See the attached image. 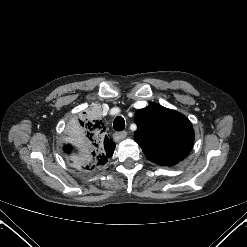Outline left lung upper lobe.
<instances>
[{"instance_id":"left-lung-upper-lobe-1","label":"left lung upper lobe","mask_w":247,"mask_h":247,"mask_svg":"<svg viewBox=\"0 0 247 247\" xmlns=\"http://www.w3.org/2000/svg\"><path fill=\"white\" fill-rule=\"evenodd\" d=\"M134 140L146 157L157 164L172 166L189 154L194 131L191 122L181 113L151 103L137 111Z\"/></svg>"}]
</instances>
